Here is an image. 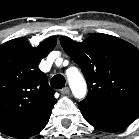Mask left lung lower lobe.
Listing matches in <instances>:
<instances>
[{
  "label": "left lung lower lobe",
  "instance_id": "0a47b994",
  "mask_svg": "<svg viewBox=\"0 0 139 139\" xmlns=\"http://www.w3.org/2000/svg\"><path fill=\"white\" fill-rule=\"evenodd\" d=\"M83 117L97 129L116 132L126 128L139 116V107L101 111L79 106Z\"/></svg>",
  "mask_w": 139,
  "mask_h": 139
}]
</instances>
